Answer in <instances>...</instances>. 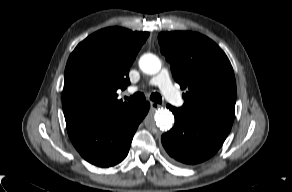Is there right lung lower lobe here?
Here are the masks:
<instances>
[{"mask_svg":"<svg viewBox=\"0 0 292 192\" xmlns=\"http://www.w3.org/2000/svg\"><path fill=\"white\" fill-rule=\"evenodd\" d=\"M149 107L145 102L104 117L67 119L68 135L85 160L99 167L114 166L127 156L133 135Z\"/></svg>","mask_w":292,"mask_h":192,"instance_id":"1","label":"right lung lower lobe"}]
</instances>
